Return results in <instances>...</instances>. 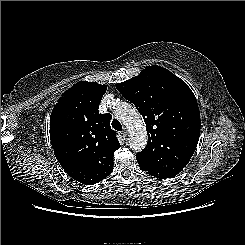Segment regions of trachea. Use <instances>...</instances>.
<instances>
[{
  "label": "trachea",
  "instance_id": "trachea-1",
  "mask_svg": "<svg viewBox=\"0 0 245 245\" xmlns=\"http://www.w3.org/2000/svg\"><path fill=\"white\" fill-rule=\"evenodd\" d=\"M112 127H113L115 130H117V131H121V130H122V125H121V123H120L118 120H116V119H114V120L112 121Z\"/></svg>",
  "mask_w": 245,
  "mask_h": 245
}]
</instances>
